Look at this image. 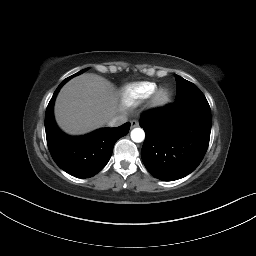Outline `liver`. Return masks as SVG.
I'll use <instances>...</instances> for the list:
<instances>
[{
    "label": "liver",
    "instance_id": "liver-1",
    "mask_svg": "<svg viewBox=\"0 0 256 256\" xmlns=\"http://www.w3.org/2000/svg\"><path fill=\"white\" fill-rule=\"evenodd\" d=\"M119 111L114 86L105 78L86 73L67 82L55 102V119L68 134L80 135L103 127Z\"/></svg>",
    "mask_w": 256,
    "mask_h": 256
}]
</instances>
